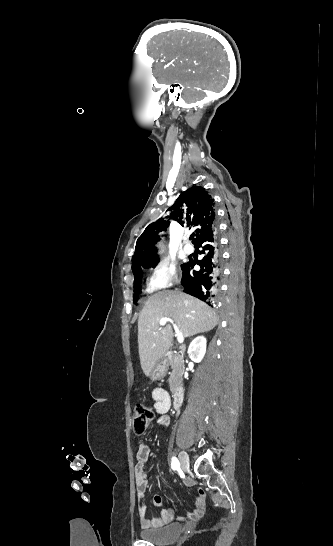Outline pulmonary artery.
Segmentation results:
<instances>
[{"label": "pulmonary artery", "instance_id": "1", "mask_svg": "<svg viewBox=\"0 0 333 546\" xmlns=\"http://www.w3.org/2000/svg\"><path fill=\"white\" fill-rule=\"evenodd\" d=\"M183 251H184L186 254H191V253H193L194 248H193L192 245H190V244L187 243V244L184 245Z\"/></svg>", "mask_w": 333, "mask_h": 546}]
</instances>
